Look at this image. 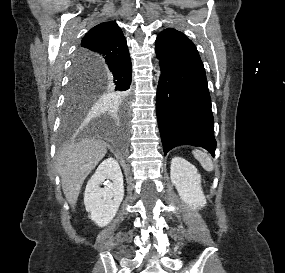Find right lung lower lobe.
Wrapping results in <instances>:
<instances>
[{"label":"right lung lower lobe","mask_w":285,"mask_h":273,"mask_svg":"<svg viewBox=\"0 0 285 273\" xmlns=\"http://www.w3.org/2000/svg\"><path fill=\"white\" fill-rule=\"evenodd\" d=\"M93 70L99 78L100 85H105L117 92L130 88L132 64L129 54L122 59L96 65Z\"/></svg>","instance_id":"1"}]
</instances>
